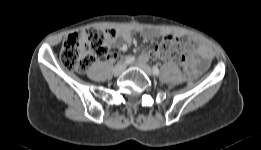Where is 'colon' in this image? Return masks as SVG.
Listing matches in <instances>:
<instances>
[{"mask_svg":"<svg viewBox=\"0 0 261 150\" xmlns=\"http://www.w3.org/2000/svg\"><path fill=\"white\" fill-rule=\"evenodd\" d=\"M113 29L89 27L67 36L63 42L60 61L68 70L86 72L97 58L106 57L109 45L114 40ZM154 57L173 61L185 67L186 59L180 42L174 37H167L152 50Z\"/></svg>","mask_w":261,"mask_h":150,"instance_id":"colon-1","label":"colon"}]
</instances>
